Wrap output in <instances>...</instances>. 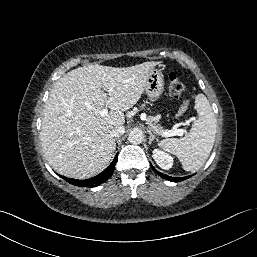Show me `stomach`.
Instances as JSON below:
<instances>
[{"instance_id":"1","label":"stomach","mask_w":257,"mask_h":257,"mask_svg":"<svg viewBox=\"0 0 257 257\" xmlns=\"http://www.w3.org/2000/svg\"><path fill=\"white\" fill-rule=\"evenodd\" d=\"M163 90L164 79L162 71L160 69H152L145 85L147 96L151 101H156L163 93Z\"/></svg>"}]
</instances>
